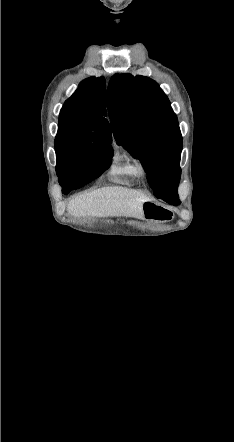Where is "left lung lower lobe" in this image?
Here are the masks:
<instances>
[{"mask_svg":"<svg viewBox=\"0 0 234 442\" xmlns=\"http://www.w3.org/2000/svg\"><path fill=\"white\" fill-rule=\"evenodd\" d=\"M180 203V201L179 200H177V201H175V202H170L169 204H172V205H177V204H179Z\"/></svg>","mask_w":234,"mask_h":442,"instance_id":"0a47b994","label":"left lung lower lobe"}]
</instances>
